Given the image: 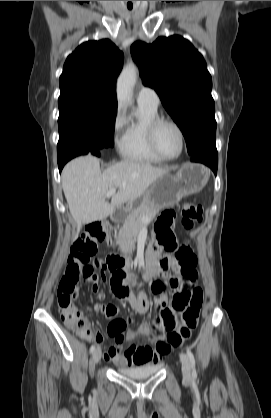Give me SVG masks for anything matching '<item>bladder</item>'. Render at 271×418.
Instances as JSON below:
<instances>
[{
  "mask_svg": "<svg viewBox=\"0 0 271 418\" xmlns=\"http://www.w3.org/2000/svg\"><path fill=\"white\" fill-rule=\"evenodd\" d=\"M162 368L161 363L146 364L137 367H122L118 368L119 373L122 375L136 379L142 380L146 379L154 374H156Z\"/></svg>",
  "mask_w": 271,
  "mask_h": 418,
  "instance_id": "1",
  "label": "bladder"
}]
</instances>
